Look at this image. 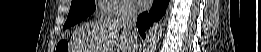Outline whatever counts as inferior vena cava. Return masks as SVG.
Here are the masks:
<instances>
[{"mask_svg":"<svg viewBox=\"0 0 261 52\" xmlns=\"http://www.w3.org/2000/svg\"><path fill=\"white\" fill-rule=\"evenodd\" d=\"M137 17H138L137 7L130 1H124L121 5V12L116 21L119 27H121L126 34L130 35V32L136 25ZM132 43L134 48L133 40Z\"/></svg>","mask_w":261,"mask_h":52,"instance_id":"inferior-vena-cava-1","label":"inferior vena cava"}]
</instances>
